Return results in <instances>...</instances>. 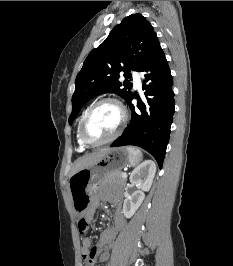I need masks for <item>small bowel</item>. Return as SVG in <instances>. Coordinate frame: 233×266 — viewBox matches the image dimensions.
<instances>
[{
  "label": "small bowel",
  "instance_id": "obj_1",
  "mask_svg": "<svg viewBox=\"0 0 233 266\" xmlns=\"http://www.w3.org/2000/svg\"><path fill=\"white\" fill-rule=\"evenodd\" d=\"M100 198L99 195H95L93 199V207L86 216L87 222L92 220ZM107 199L111 200L115 205L113 224L101 233L99 241L93 247H91V240L88 237L83 240L81 253L86 266H93L96 260L105 262L108 259L109 249L113 245L116 233L118 230L122 229L125 224L124 217L119 210L120 201L118 199ZM89 255L91 256V261L88 263L86 257Z\"/></svg>",
  "mask_w": 233,
  "mask_h": 266
}]
</instances>
